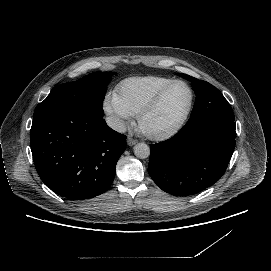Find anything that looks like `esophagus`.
I'll list each match as a JSON object with an SVG mask.
<instances>
[{
    "label": "esophagus",
    "mask_w": 271,
    "mask_h": 271,
    "mask_svg": "<svg viewBox=\"0 0 271 271\" xmlns=\"http://www.w3.org/2000/svg\"><path fill=\"white\" fill-rule=\"evenodd\" d=\"M137 143V140L136 139H134V138H132V137H128L127 138V144L129 145V146H133V145H135Z\"/></svg>",
    "instance_id": "obj_1"
}]
</instances>
